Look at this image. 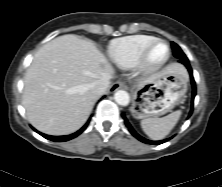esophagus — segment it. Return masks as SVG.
I'll return each mask as SVG.
<instances>
[{
  "label": "esophagus",
  "mask_w": 222,
  "mask_h": 187,
  "mask_svg": "<svg viewBox=\"0 0 222 187\" xmlns=\"http://www.w3.org/2000/svg\"><path fill=\"white\" fill-rule=\"evenodd\" d=\"M120 88H126V85L123 82L117 81L115 83H113V85L111 86L110 90L112 92L120 89Z\"/></svg>",
  "instance_id": "obj_1"
}]
</instances>
